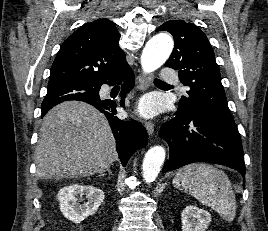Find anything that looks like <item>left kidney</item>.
Here are the masks:
<instances>
[{"label":"left kidney","instance_id":"obj_1","mask_svg":"<svg viewBox=\"0 0 268 231\" xmlns=\"http://www.w3.org/2000/svg\"><path fill=\"white\" fill-rule=\"evenodd\" d=\"M182 231H205L211 222L209 212L197 206H186L181 213Z\"/></svg>","mask_w":268,"mask_h":231}]
</instances>
